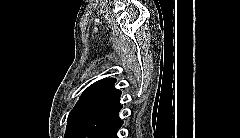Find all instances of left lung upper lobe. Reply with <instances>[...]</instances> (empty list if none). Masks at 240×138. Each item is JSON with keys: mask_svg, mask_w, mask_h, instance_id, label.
I'll return each mask as SVG.
<instances>
[{"mask_svg": "<svg viewBox=\"0 0 240 138\" xmlns=\"http://www.w3.org/2000/svg\"><path fill=\"white\" fill-rule=\"evenodd\" d=\"M114 78L93 83L82 94L67 119L65 138H78L97 112L116 94Z\"/></svg>", "mask_w": 240, "mask_h": 138, "instance_id": "5c2ea615", "label": "left lung upper lobe"}]
</instances>
